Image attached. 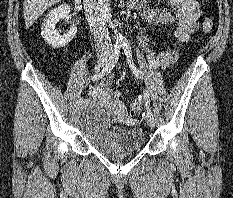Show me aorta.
<instances>
[{
	"label": "aorta",
	"instance_id": "aorta-1",
	"mask_svg": "<svg viewBox=\"0 0 233 198\" xmlns=\"http://www.w3.org/2000/svg\"><path fill=\"white\" fill-rule=\"evenodd\" d=\"M109 1L110 0H101L102 13L104 15L105 20L109 22L111 24V27L113 28L112 14H111V8H110ZM114 36L117 40L123 39L122 35L118 33L117 31H114Z\"/></svg>",
	"mask_w": 233,
	"mask_h": 198
}]
</instances>
